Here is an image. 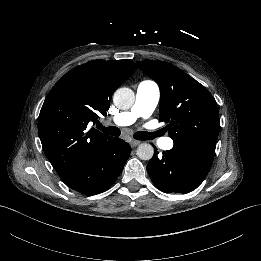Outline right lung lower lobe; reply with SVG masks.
Segmentation results:
<instances>
[{
	"instance_id": "98d812e1",
	"label": "right lung lower lobe",
	"mask_w": 261,
	"mask_h": 261,
	"mask_svg": "<svg viewBox=\"0 0 261 261\" xmlns=\"http://www.w3.org/2000/svg\"><path fill=\"white\" fill-rule=\"evenodd\" d=\"M130 152L128 143L112 137L99 154L62 179L71 189L86 195L104 192L122 172Z\"/></svg>"
}]
</instances>
